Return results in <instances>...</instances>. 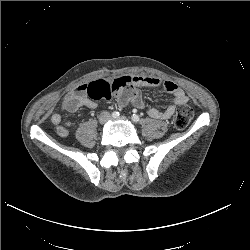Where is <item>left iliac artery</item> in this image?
<instances>
[{"instance_id":"obj_1","label":"left iliac artery","mask_w":250,"mask_h":250,"mask_svg":"<svg viewBox=\"0 0 250 250\" xmlns=\"http://www.w3.org/2000/svg\"><path fill=\"white\" fill-rule=\"evenodd\" d=\"M132 121L134 122H138L139 121V116L137 114H133L132 117H131Z\"/></svg>"}]
</instances>
